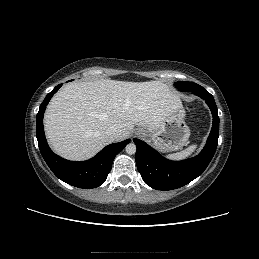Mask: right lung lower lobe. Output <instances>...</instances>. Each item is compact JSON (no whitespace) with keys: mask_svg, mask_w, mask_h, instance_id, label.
Returning <instances> with one entry per match:
<instances>
[{"mask_svg":"<svg viewBox=\"0 0 259 259\" xmlns=\"http://www.w3.org/2000/svg\"><path fill=\"white\" fill-rule=\"evenodd\" d=\"M61 86L62 84L56 86L47 94L37 113L36 136L39 149L45 162L59 179L72 186L92 189L104 183L111 170L114 157L125 148L130 139L106 146L87 161H69L54 154L45 138L43 115L48 102Z\"/></svg>","mask_w":259,"mask_h":259,"instance_id":"right-lung-lower-lobe-1","label":"right lung lower lobe"}]
</instances>
